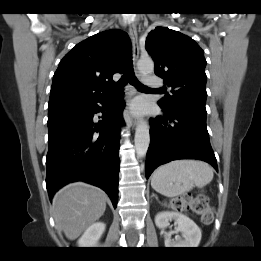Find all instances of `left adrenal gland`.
<instances>
[{"label":"left adrenal gland","mask_w":261,"mask_h":261,"mask_svg":"<svg viewBox=\"0 0 261 261\" xmlns=\"http://www.w3.org/2000/svg\"><path fill=\"white\" fill-rule=\"evenodd\" d=\"M152 196L155 197L158 202H160L157 195H155L154 193H152Z\"/></svg>","instance_id":"obj_1"}]
</instances>
